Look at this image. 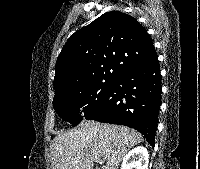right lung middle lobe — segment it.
I'll use <instances>...</instances> for the list:
<instances>
[{
	"label": "right lung middle lobe",
	"instance_id": "obj_1",
	"mask_svg": "<svg viewBox=\"0 0 200 169\" xmlns=\"http://www.w3.org/2000/svg\"><path fill=\"white\" fill-rule=\"evenodd\" d=\"M105 81H93L75 93L54 100L55 111L73 126L79 124L103 105L116 79L107 78Z\"/></svg>",
	"mask_w": 200,
	"mask_h": 169
}]
</instances>
